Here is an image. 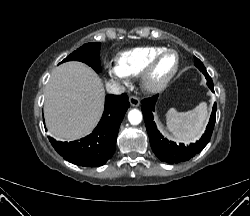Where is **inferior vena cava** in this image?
<instances>
[{"mask_svg":"<svg viewBox=\"0 0 250 216\" xmlns=\"http://www.w3.org/2000/svg\"><path fill=\"white\" fill-rule=\"evenodd\" d=\"M106 90L108 93L120 95L125 92V87L119 82L111 80L106 83Z\"/></svg>","mask_w":250,"mask_h":216,"instance_id":"obj_1","label":"inferior vena cava"}]
</instances>
